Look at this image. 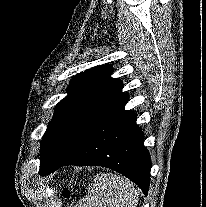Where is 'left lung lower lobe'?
Returning a JSON list of instances; mask_svg holds the SVG:
<instances>
[{
  "label": "left lung lower lobe",
  "mask_w": 206,
  "mask_h": 207,
  "mask_svg": "<svg viewBox=\"0 0 206 207\" xmlns=\"http://www.w3.org/2000/svg\"><path fill=\"white\" fill-rule=\"evenodd\" d=\"M128 99L124 94L115 102L95 123L77 151L54 163L47 174L65 165L103 166L120 172L147 195L151 159L143 143L144 134L136 125L137 115L124 109Z\"/></svg>",
  "instance_id": "1"
}]
</instances>
